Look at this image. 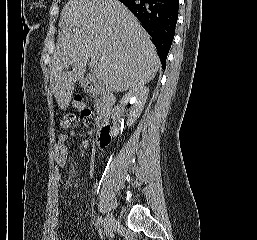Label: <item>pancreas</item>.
Instances as JSON below:
<instances>
[{"label": "pancreas", "instance_id": "obj_1", "mask_svg": "<svg viewBox=\"0 0 257 240\" xmlns=\"http://www.w3.org/2000/svg\"><path fill=\"white\" fill-rule=\"evenodd\" d=\"M94 108L97 111V114L100 115L101 113H107L108 104L107 101L100 93H94Z\"/></svg>", "mask_w": 257, "mask_h": 240}]
</instances>
